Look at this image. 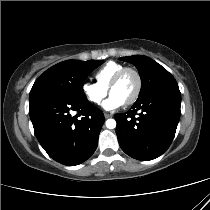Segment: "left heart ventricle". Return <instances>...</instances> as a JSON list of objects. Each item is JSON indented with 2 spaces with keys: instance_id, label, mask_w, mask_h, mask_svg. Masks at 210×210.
Wrapping results in <instances>:
<instances>
[{
  "instance_id": "1",
  "label": "left heart ventricle",
  "mask_w": 210,
  "mask_h": 210,
  "mask_svg": "<svg viewBox=\"0 0 210 210\" xmlns=\"http://www.w3.org/2000/svg\"><path fill=\"white\" fill-rule=\"evenodd\" d=\"M137 88V78L133 73H126L122 80L112 90L111 94L118 96L124 103L129 100Z\"/></svg>"
}]
</instances>
